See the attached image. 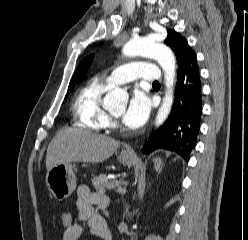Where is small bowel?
Masks as SVG:
<instances>
[{
    "instance_id": "obj_1",
    "label": "small bowel",
    "mask_w": 248,
    "mask_h": 240,
    "mask_svg": "<svg viewBox=\"0 0 248 240\" xmlns=\"http://www.w3.org/2000/svg\"><path fill=\"white\" fill-rule=\"evenodd\" d=\"M76 193L77 221H73L70 226L64 229L62 240H79L83 234V228L80 222H87L94 233L95 226L103 221L100 215L94 210V207L103 209L109 203L106 195L92 192L86 185H80Z\"/></svg>"
}]
</instances>
